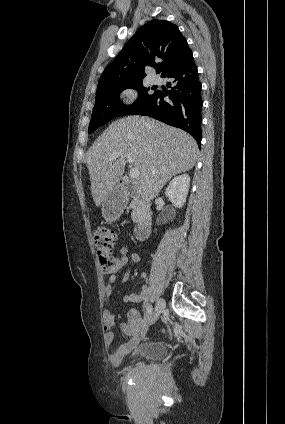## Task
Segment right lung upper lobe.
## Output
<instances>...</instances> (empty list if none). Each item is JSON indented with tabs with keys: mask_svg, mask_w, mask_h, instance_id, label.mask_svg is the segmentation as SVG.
<instances>
[{
	"mask_svg": "<svg viewBox=\"0 0 285 424\" xmlns=\"http://www.w3.org/2000/svg\"><path fill=\"white\" fill-rule=\"evenodd\" d=\"M193 58L178 27L166 20H152L138 29L118 56L107 65L98 89L127 82L142 81L145 67L163 60L157 72L163 77Z\"/></svg>",
	"mask_w": 285,
	"mask_h": 424,
	"instance_id": "1",
	"label": "right lung upper lobe"
}]
</instances>
